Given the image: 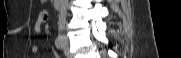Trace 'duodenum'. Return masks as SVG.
<instances>
[{"instance_id":"obj_1","label":"duodenum","mask_w":181,"mask_h":58,"mask_svg":"<svg viewBox=\"0 0 181 58\" xmlns=\"http://www.w3.org/2000/svg\"><path fill=\"white\" fill-rule=\"evenodd\" d=\"M53 5L56 9H59L62 5V0H53Z\"/></svg>"}]
</instances>
